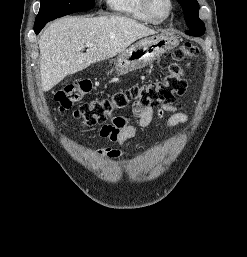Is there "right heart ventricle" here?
I'll use <instances>...</instances> for the list:
<instances>
[{"mask_svg":"<svg viewBox=\"0 0 247 257\" xmlns=\"http://www.w3.org/2000/svg\"><path fill=\"white\" fill-rule=\"evenodd\" d=\"M110 10L135 20L154 23L144 9L143 0H106Z\"/></svg>","mask_w":247,"mask_h":257,"instance_id":"obj_1","label":"right heart ventricle"}]
</instances>
